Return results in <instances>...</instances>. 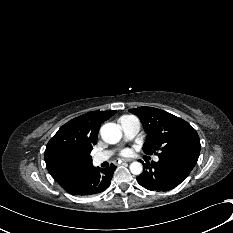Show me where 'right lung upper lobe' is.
Listing matches in <instances>:
<instances>
[{
  "label": "right lung upper lobe",
  "instance_id": "cb5924a9",
  "mask_svg": "<svg viewBox=\"0 0 233 233\" xmlns=\"http://www.w3.org/2000/svg\"><path fill=\"white\" fill-rule=\"evenodd\" d=\"M116 111H91L64 124L50 139L45 162L50 175L64 189H70L78 177L92 167L90 155L97 142L101 124Z\"/></svg>",
  "mask_w": 233,
  "mask_h": 233
}]
</instances>
